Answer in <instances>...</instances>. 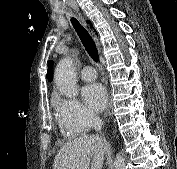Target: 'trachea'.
<instances>
[{"instance_id":"obj_1","label":"trachea","mask_w":177,"mask_h":169,"mask_svg":"<svg viewBox=\"0 0 177 169\" xmlns=\"http://www.w3.org/2000/svg\"><path fill=\"white\" fill-rule=\"evenodd\" d=\"M71 23L75 31L77 32L87 53L90 55V57L92 58L94 62L98 63L99 61L98 50L96 48V45L92 37L89 35L87 30L79 23V21L75 19L74 17L71 18Z\"/></svg>"}]
</instances>
